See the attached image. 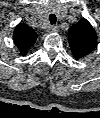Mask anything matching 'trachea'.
I'll return each mask as SVG.
<instances>
[{
    "label": "trachea",
    "instance_id": "trachea-1",
    "mask_svg": "<svg viewBox=\"0 0 100 118\" xmlns=\"http://www.w3.org/2000/svg\"><path fill=\"white\" fill-rule=\"evenodd\" d=\"M49 20L51 25L55 24L57 20L55 14H50Z\"/></svg>",
    "mask_w": 100,
    "mask_h": 118
}]
</instances>
